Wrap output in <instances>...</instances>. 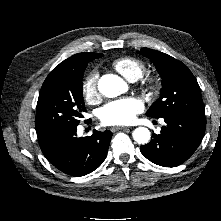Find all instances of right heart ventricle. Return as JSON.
Masks as SVG:
<instances>
[{
    "instance_id": "e07e8e85",
    "label": "right heart ventricle",
    "mask_w": 221,
    "mask_h": 221,
    "mask_svg": "<svg viewBox=\"0 0 221 221\" xmlns=\"http://www.w3.org/2000/svg\"><path fill=\"white\" fill-rule=\"evenodd\" d=\"M111 66L115 71L131 82L140 79L146 71V66L141 60L129 56L114 60Z\"/></svg>"
}]
</instances>
